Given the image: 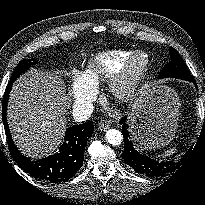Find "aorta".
I'll return each mask as SVG.
<instances>
[{
    "instance_id": "762f6f07",
    "label": "aorta",
    "mask_w": 205,
    "mask_h": 205,
    "mask_svg": "<svg viewBox=\"0 0 205 205\" xmlns=\"http://www.w3.org/2000/svg\"><path fill=\"white\" fill-rule=\"evenodd\" d=\"M106 139L111 145L117 146L121 144L123 137L122 133L119 130L109 129L106 132Z\"/></svg>"
}]
</instances>
